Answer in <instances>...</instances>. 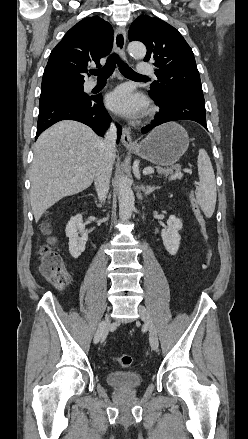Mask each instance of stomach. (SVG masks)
Masks as SVG:
<instances>
[{"label":"stomach","instance_id":"stomach-1","mask_svg":"<svg viewBox=\"0 0 248 439\" xmlns=\"http://www.w3.org/2000/svg\"><path fill=\"white\" fill-rule=\"evenodd\" d=\"M189 146L187 131L175 122L165 123L151 131L133 150L158 166H172Z\"/></svg>","mask_w":248,"mask_h":439}]
</instances>
